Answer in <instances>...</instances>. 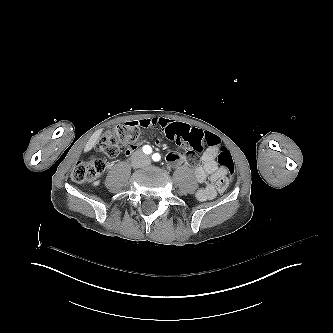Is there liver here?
Listing matches in <instances>:
<instances>
[{
    "mask_svg": "<svg viewBox=\"0 0 333 333\" xmlns=\"http://www.w3.org/2000/svg\"><path fill=\"white\" fill-rule=\"evenodd\" d=\"M102 131H103V129L101 128V129L96 130L92 134V136L90 137V139L88 140V142L86 143V145L84 147V152H89L93 147H95Z\"/></svg>",
    "mask_w": 333,
    "mask_h": 333,
    "instance_id": "obj_1",
    "label": "liver"
}]
</instances>
